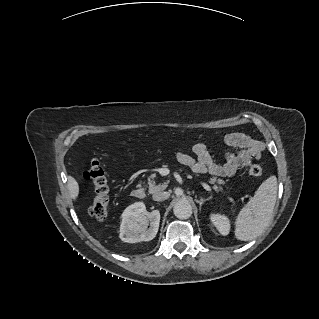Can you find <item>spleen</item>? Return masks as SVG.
Listing matches in <instances>:
<instances>
[{
  "label": "spleen",
  "instance_id": "1",
  "mask_svg": "<svg viewBox=\"0 0 319 319\" xmlns=\"http://www.w3.org/2000/svg\"><path fill=\"white\" fill-rule=\"evenodd\" d=\"M278 184L272 175L259 186L253 198L240 210L235 221V237L250 241L270 223L277 199Z\"/></svg>",
  "mask_w": 319,
  "mask_h": 319
}]
</instances>
